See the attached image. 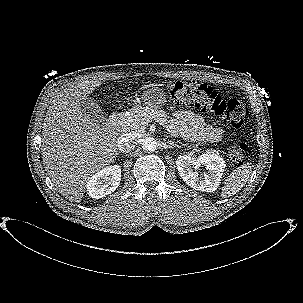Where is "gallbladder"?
<instances>
[{
  "mask_svg": "<svg viewBox=\"0 0 303 303\" xmlns=\"http://www.w3.org/2000/svg\"><path fill=\"white\" fill-rule=\"evenodd\" d=\"M81 110L85 115L90 116L92 120H94L99 124L104 123L106 120V115L96 106H92L89 103L86 102L81 103Z\"/></svg>",
  "mask_w": 303,
  "mask_h": 303,
  "instance_id": "obj_1",
  "label": "gallbladder"
}]
</instances>
